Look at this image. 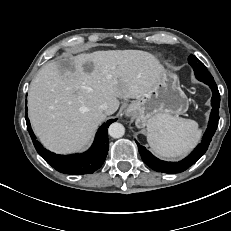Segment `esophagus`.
I'll list each match as a JSON object with an SVG mask.
<instances>
[{
	"label": "esophagus",
	"mask_w": 231,
	"mask_h": 231,
	"mask_svg": "<svg viewBox=\"0 0 231 231\" xmlns=\"http://www.w3.org/2000/svg\"><path fill=\"white\" fill-rule=\"evenodd\" d=\"M126 115H127V116H130V115H131V109H128V110H127Z\"/></svg>",
	"instance_id": "34e87169"
}]
</instances>
